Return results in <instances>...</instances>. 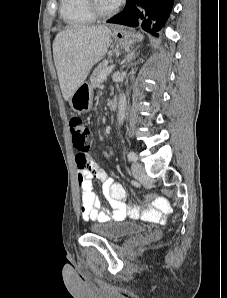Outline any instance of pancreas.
Instances as JSON below:
<instances>
[{
	"label": "pancreas",
	"mask_w": 227,
	"mask_h": 298,
	"mask_svg": "<svg viewBox=\"0 0 227 298\" xmlns=\"http://www.w3.org/2000/svg\"><path fill=\"white\" fill-rule=\"evenodd\" d=\"M107 68V62L106 61H102L93 71L91 77H90V82H91V86L92 88H96L99 86V81L98 78L99 76L103 73V71Z\"/></svg>",
	"instance_id": "cf45deb5"
}]
</instances>
